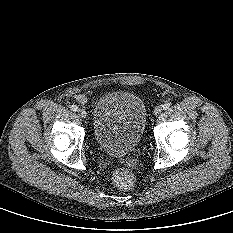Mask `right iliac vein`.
<instances>
[{"label":"right iliac vein","mask_w":233,"mask_h":233,"mask_svg":"<svg viewBox=\"0 0 233 233\" xmlns=\"http://www.w3.org/2000/svg\"><path fill=\"white\" fill-rule=\"evenodd\" d=\"M78 115L81 117V118H86L87 116V113L84 109H78Z\"/></svg>","instance_id":"right-iliac-vein-1"}]
</instances>
